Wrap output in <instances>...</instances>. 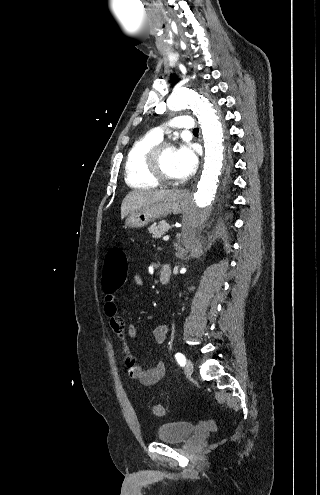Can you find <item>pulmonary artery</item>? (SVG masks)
<instances>
[{"label": "pulmonary artery", "instance_id": "pulmonary-artery-1", "mask_svg": "<svg viewBox=\"0 0 320 495\" xmlns=\"http://www.w3.org/2000/svg\"><path fill=\"white\" fill-rule=\"evenodd\" d=\"M169 125L172 128L182 129V130H191L194 127V122L189 116H176L172 118L169 122ZM166 131L165 127H156L151 131V134L157 139L161 140Z\"/></svg>", "mask_w": 320, "mask_h": 495}]
</instances>
